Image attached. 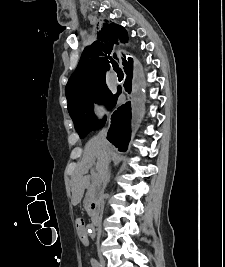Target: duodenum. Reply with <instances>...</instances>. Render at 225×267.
<instances>
[{
	"mask_svg": "<svg viewBox=\"0 0 225 267\" xmlns=\"http://www.w3.org/2000/svg\"><path fill=\"white\" fill-rule=\"evenodd\" d=\"M90 215H91V222H92V225L95 227L99 224V221H100V216L96 210V206L94 203L91 204V207H90Z\"/></svg>",
	"mask_w": 225,
	"mask_h": 267,
	"instance_id": "obj_1",
	"label": "duodenum"
}]
</instances>
